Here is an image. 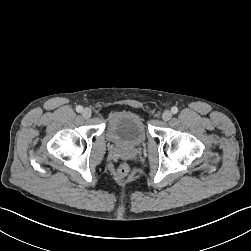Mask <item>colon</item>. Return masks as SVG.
<instances>
[{
	"mask_svg": "<svg viewBox=\"0 0 251 251\" xmlns=\"http://www.w3.org/2000/svg\"><path fill=\"white\" fill-rule=\"evenodd\" d=\"M129 172V167L126 164H121L118 167L117 173L120 177H125Z\"/></svg>",
	"mask_w": 251,
	"mask_h": 251,
	"instance_id": "obj_1",
	"label": "colon"
}]
</instances>
